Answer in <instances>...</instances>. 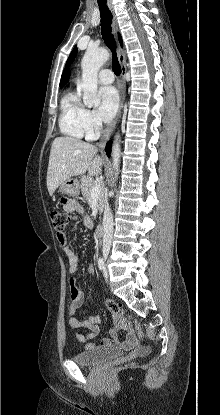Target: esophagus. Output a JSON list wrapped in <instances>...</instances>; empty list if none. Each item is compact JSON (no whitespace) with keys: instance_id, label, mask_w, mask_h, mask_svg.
I'll return each mask as SVG.
<instances>
[{"instance_id":"obj_1","label":"esophagus","mask_w":220,"mask_h":415,"mask_svg":"<svg viewBox=\"0 0 220 415\" xmlns=\"http://www.w3.org/2000/svg\"><path fill=\"white\" fill-rule=\"evenodd\" d=\"M108 7H109V9L112 13V16H113V20H112L113 35L115 37V40L117 41L118 60H119L120 66H121V79H120V83H119L120 104H119V108H118L115 119L111 123L110 127L108 128V130L106 131V133L104 134V136H103V138L100 142L99 146L102 150H104L107 140L109 139L110 135L112 134V132L114 131V129L116 127V124L119 121V118L121 116V112H122V109H123V105H124V100H125V90H124V86H123V81H124L125 73H126V55H125L124 49L118 43L117 18H116L114 6H113V4L108 3Z\"/></svg>"}]
</instances>
